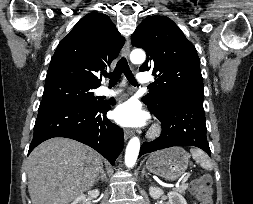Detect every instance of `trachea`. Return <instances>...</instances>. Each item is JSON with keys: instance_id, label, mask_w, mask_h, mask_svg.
<instances>
[{"instance_id": "trachea-1", "label": "trachea", "mask_w": 253, "mask_h": 204, "mask_svg": "<svg viewBox=\"0 0 253 204\" xmlns=\"http://www.w3.org/2000/svg\"><path fill=\"white\" fill-rule=\"evenodd\" d=\"M124 73L128 81L134 85L137 86L138 83L132 74L129 65L125 58H121V60L117 63L116 68L113 72L106 74L107 77H109V85L114 86L117 84L119 78L121 77V74Z\"/></svg>"}]
</instances>
